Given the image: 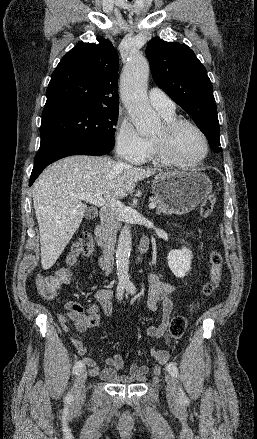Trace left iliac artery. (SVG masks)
Instances as JSON below:
<instances>
[{
  "label": "left iliac artery",
  "mask_w": 257,
  "mask_h": 439,
  "mask_svg": "<svg viewBox=\"0 0 257 439\" xmlns=\"http://www.w3.org/2000/svg\"><path fill=\"white\" fill-rule=\"evenodd\" d=\"M126 289H127V291H128L129 293H131V294H134V293L136 292V288H135V286H134L131 282L127 283V285H126ZM167 371H168V372H169L174 378L178 379V377H179V372H178V368L176 367L175 364H173V363H169V364L167 365ZM177 382H178V380H177ZM179 399H180L181 401H186V400H187V398H186V396H185L183 390H182L180 387H179Z\"/></svg>",
  "instance_id": "1"
}]
</instances>
